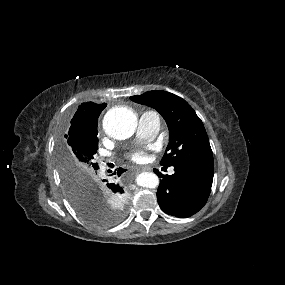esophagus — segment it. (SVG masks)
<instances>
[{
  "instance_id": "obj_1",
  "label": "esophagus",
  "mask_w": 285,
  "mask_h": 285,
  "mask_svg": "<svg viewBox=\"0 0 285 285\" xmlns=\"http://www.w3.org/2000/svg\"><path fill=\"white\" fill-rule=\"evenodd\" d=\"M141 170L142 171H151V168L148 166H143V167H141Z\"/></svg>"
}]
</instances>
